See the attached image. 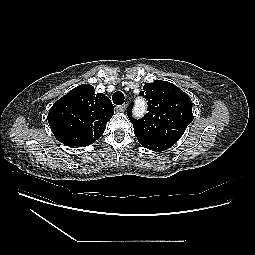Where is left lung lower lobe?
<instances>
[{
	"instance_id": "1",
	"label": "left lung lower lobe",
	"mask_w": 255,
	"mask_h": 255,
	"mask_svg": "<svg viewBox=\"0 0 255 255\" xmlns=\"http://www.w3.org/2000/svg\"><path fill=\"white\" fill-rule=\"evenodd\" d=\"M176 143V141L172 140H162V141H148V142H140V144L152 151H164L171 146H173Z\"/></svg>"
}]
</instances>
